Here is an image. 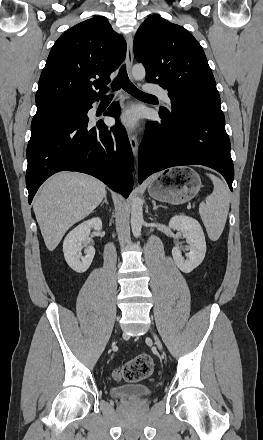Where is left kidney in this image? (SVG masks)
<instances>
[{"mask_svg":"<svg viewBox=\"0 0 263 440\" xmlns=\"http://www.w3.org/2000/svg\"><path fill=\"white\" fill-rule=\"evenodd\" d=\"M169 228L180 231L189 243L187 259L178 247H173L172 256L177 267L184 273H190L204 260L206 253L205 236L199 222L186 215H177L170 219Z\"/></svg>","mask_w":263,"mask_h":440,"instance_id":"1","label":"left kidney"}]
</instances>
